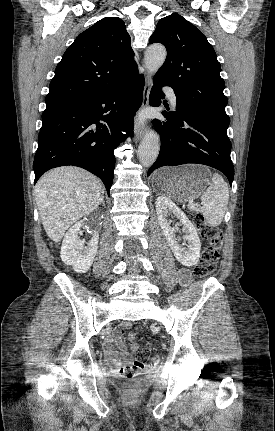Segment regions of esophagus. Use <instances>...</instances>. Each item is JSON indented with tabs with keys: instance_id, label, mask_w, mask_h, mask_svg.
<instances>
[{
	"instance_id": "esophagus-1",
	"label": "esophagus",
	"mask_w": 275,
	"mask_h": 431,
	"mask_svg": "<svg viewBox=\"0 0 275 431\" xmlns=\"http://www.w3.org/2000/svg\"><path fill=\"white\" fill-rule=\"evenodd\" d=\"M151 88H152V79H151V76L148 75L146 77L145 86L143 90L141 109L148 106ZM134 134H135L134 136L135 142H138L144 135V127L141 126L138 122H136L135 124Z\"/></svg>"
}]
</instances>
